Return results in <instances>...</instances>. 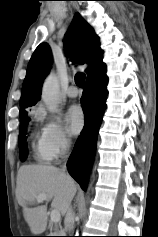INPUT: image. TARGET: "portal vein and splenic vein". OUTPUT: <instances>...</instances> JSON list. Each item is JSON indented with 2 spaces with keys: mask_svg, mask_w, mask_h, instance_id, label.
Returning <instances> with one entry per match:
<instances>
[{
  "mask_svg": "<svg viewBox=\"0 0 158 237\" xmlns=\"http://www.w3.org/2000/svg\"><path fill=\"white\" fill-rule=\"evenodd\" d=\"M48 196L46 194H41L39 196H37L36 200L37 202H42L44 200H47ZM61 219V215L60 212L57 210H52L51 214H50V220L52 223H58Z\"/></svg>",
  "mask_w": 158,
  "mask_h": 237,
  "instance_id": "1",
  "label": "portal vein and splenic vein"
}]
</instances>
